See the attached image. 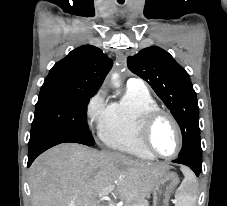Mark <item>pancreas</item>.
Wrapping results in <instances>:
<instances>
[{
    "label": "pancreas",
    "mask_w": 227,
    "mask_h": 206,
    "mask_svg": "<svg viewBox=\"0 0 227 206\" xmlns=\"http://www.w3.org/2000/svg\"><path fill=\"white\" fill-rule=\"evenodd\" d=\"M125 206H149L148 201L144 198H139L133 204H126Z\"/></svg>",
    "instance_id": "obj_1"
}]
</instances>
